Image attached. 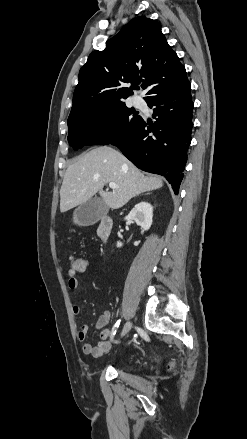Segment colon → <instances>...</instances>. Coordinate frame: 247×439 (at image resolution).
Listing matches in <instances>:
<instances>
[{
	"instance_id": "5ec220e1",
	"label": "colon",
	"mask_w": 247,
	"mask_h": 439,
	"mask_svg": "<svg viewBox=\"0 0 247 439\" xmlns=\"http://www.w3.org/2000/svg\"><path fill=\"white\" fill-rule=\"evenodd\" d=\"M87 268V261L83 257H71L70 258V270L74 272H83Z\"/></svg>"
}]
</instances>
